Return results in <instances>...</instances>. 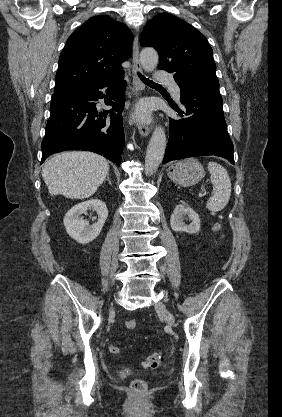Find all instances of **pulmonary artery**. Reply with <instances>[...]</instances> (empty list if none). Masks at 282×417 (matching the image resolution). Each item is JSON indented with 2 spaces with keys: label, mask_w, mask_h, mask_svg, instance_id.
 Masks as SVG:
<instances>
[{
  "label": "pulmonary artery",
  "mask_w": 282,
  "mask_h": 417,
  "mask_svg": "<svg viewBox=\"0 0 282 417\" xmlns=\"http://www.w3.org/2000/svg\"><path fill=\"white\" fill-rule=\"evenodd\" d=\"M155 80H156V83H171V88H172L174 97L176 99H179L180 89L174 81L171 82L172 80L171 74H156Z\"/></svg>",
  "instance_id": "e3ab8cb5"
}]
</instances>
